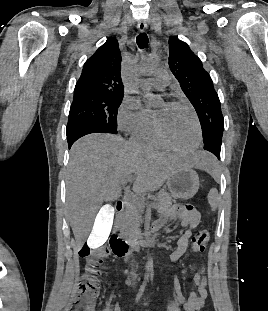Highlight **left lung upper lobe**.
<instances>
[{"label":"left lung upper lobe","instance_id":"obj_1","mask_svg":"<svg viewBox=\"0 0 268 311\" xmlns=\"http://www.w3.org/2000/svg\"><path fill=\"white\" fill-rule=\"evenodd\" d=\"M169 67L197 112L204 145H221L224 119L212 79L189 46L175 36L169 38Z\"/></svg>","mask_w":268,"mask_h":311}]
</instances>
